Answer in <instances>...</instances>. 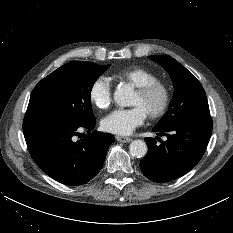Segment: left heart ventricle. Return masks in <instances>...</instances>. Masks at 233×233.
<instances>
[{"label": "left heart ventricle", "mask_w": 233, "mask_h": 233, "mask_svg": "<svg viewBox=\"0 0 233 233\" xmlns=\"http://www.w3.org/2000/svg\"><path fill=\"white\" fill-rule=\"evenodd\" d=\"M161 101L162 94L159 91L147 97H143L139 95L137 92H135L130 104L132 106L141 107L144 110V112L148 115L149 113L159 108Z\"/></svg>", "instance_id": "obj_1"}]
</instances>
